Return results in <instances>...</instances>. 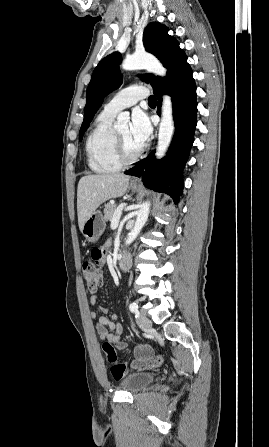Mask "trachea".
Instances as JSON below:
<instances>
[{
    "instance_id": "trachea-1",
    "label": "trachea",
    "mask_w": 269,
    "mask_h": 447,
    "mask_svg": "<svg viewBox=\"0 0 269 447\" xmlns=\"http://www.w3.org/2000/svg\"><path fill=\"white\" fill-rule=\"evenodd\" d=\"M148 103L149 105H156L157 103L156 97H154V95H151L148 99Z\"/></svg>"
}]
</instances>
